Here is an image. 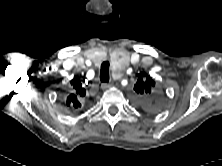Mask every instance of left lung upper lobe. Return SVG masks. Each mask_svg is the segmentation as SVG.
I'll return each mask as SVG.
<instances>
[{"instance_id":"left-lung-upper-lobe-1","label":"left lung upper lobe","mask_w":222,"mask_h":166,"mask_svg":"<svg viewBox=\"0 0 222 166\" xmlns=\"http://www.w3.org/2000/svg\"><path fill=\"white\" fill-rule=\"evenodd\" d=\"M137 76L138 80L134 86V90L140 95L150 94L152 87L155 86V82L145 73L141 72Z\"/></svg>"}]
</instances>
